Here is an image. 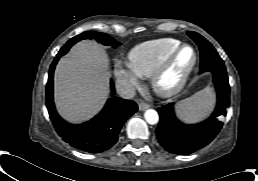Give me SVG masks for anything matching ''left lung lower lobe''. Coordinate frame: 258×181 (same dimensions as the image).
Returning a JSON list of instances; mask_svg holds the SVG:
<instances>
[{"mask_svg": "<svg viewBox=\"0 0 258 181\" xmlns=\"http://www.w3.org/2000/svg\"><path fill=\"white\" fill-rule=\"evenodd\" d=\"M213 83L217 92V106L213 114L204 122L185 125L175 117L174 104L158 108L160 122L156 129L160 145L168 152L178 155L191 154L207 146L219 133L229 106V83L226 71H212Z\"/></svg>", "mask_w": 258, "mask_h": 181, "instance_id": "0a47b994", "label": "left lung lower lobe"}]
</instances>
